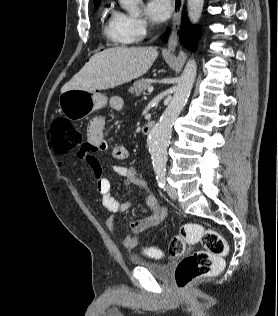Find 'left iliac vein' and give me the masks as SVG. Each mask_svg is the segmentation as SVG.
I'll use <instances>...</instances> for the list:
<instances>
[{"label": "left iliac vein", "mask_w": 278, "mask_h": 316, "mask_svg": "<svg viewBox=\"0 0 278 316\" xmlns=\"http://www.w3.org/2000/svg\"><path fill=\"white\" fill-rule=\"evenodd\" d=\"M167 193L170 196V198H172L174 200L178 198L177 190L170 185H167Z\"/></svg>", "instance_id": "obj_1"}]
</instances>
